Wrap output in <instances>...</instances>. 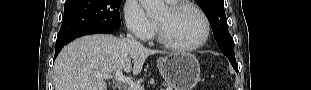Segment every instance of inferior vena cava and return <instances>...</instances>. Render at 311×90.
<instances>
[{
    "mask_svg": "<svg viewBox=\"0 0 311 90\" xmlns=\"http://www.w3.org/2000/svg\"><path fill=\"white\" fill-rule=\"evenodd\" d=\"M127 38L128 39H132V40H134V38H133V36L131 35V34H127ZM127 46L129 47V48H137L138 46H139V43L137 42V41H129L128 43H127Z\"/></svg>",
    "mask_w": 311,
    "mask_h": 90,
    "instance_id": "inferior-vena-cava-1",
    "label": "inferior vena cava"
}]
</instances>
